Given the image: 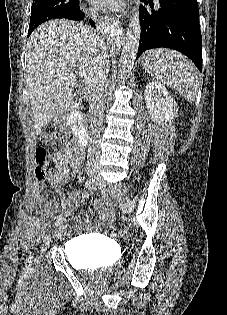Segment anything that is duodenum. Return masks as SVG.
Instances as JSON below:
<instances>
[{"label":"duodenum","mask_w":227,"mask_h":315,"mask_svg":"<svg viewBox=\"0 0 227 315\" xmlns=\"http://www.w3.org/2000/svg\"><path fill=\"white\" fill-rule=\"evenodd\" d=\"M71 125L76 141L79 145L85 146L88 143V124L84 113L77 107L70 110L67 118Z\"/></svg>","instance_id":"410a0bca"}]
</instances>
